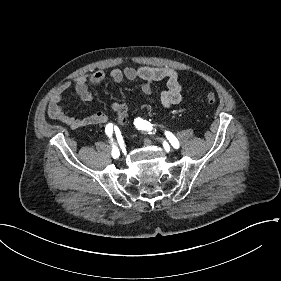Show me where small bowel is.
Segmentation results:
<instances>
[{
  "mask_svg": "<svg viewBox=\"0 0 281 281\" xmlns=\"http://www.w3.org/2000/svg\"><path fill=\"white\" fill-rule=\"evenodd\" d=\"M105 76L103 71L98 70L89 75L76 78L74 80L76 94L83 102L93 101L94 97L89 90V86L100 84L105 79ZM109 76L114 82H121L125 79H141L143 81L141 89L146 95L152 94V84L154 82L165 80L167 83V90L161 94V104L164 107L169 108L178 104L182 100V88L179 83L178 73L172 68L149 66L135 68L127 66L123 69L116 68L111 70ZM70 87L71 82L63 83L53 96L48 108V114L52 119L57 120L72 129L104 125L108 122L109 117L103 112H97L85 117H76L67 114L62 105V100ZM112 111L118 118H126L128 107L124 103H114Z\"/></svg>",
  "mask_w": 281,
  "mask_h": 281,
  "instance_id": "small-bowel-1",
  "label": "small bowel"
}]
</instances>
